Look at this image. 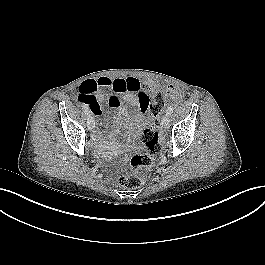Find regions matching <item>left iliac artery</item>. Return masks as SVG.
Masks as SVG:
<instances>
[{"instance_id":"1","label":"left iliac artery","mask_w":265,"mask_h":265,"mask_svg":"<svg viewBox=\"0 0 265 265\" xmlns=\"http://www.w3.org/2000/svg\"><path fill=\"white\" fill-rule=\"evenodd\" d=\"M173 110H174V107L173 106L168 107V109L166 111V114L167 115H171L173 113Z\"/></svg>"}]
</instances>
